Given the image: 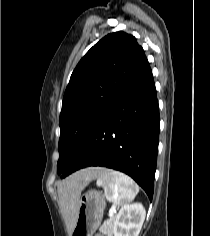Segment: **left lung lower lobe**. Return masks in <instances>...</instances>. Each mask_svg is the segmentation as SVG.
Returning <instances> with one entry per match:
<instances>
[{"label":"left lung lower lobe","instance_id":"obj_1","mask_svg":"<svg viewBox=\"0 0 210 236\" xmlns=\"http://www.w3.org/2000/svg\"><path fill=\"white\" fill-rule=\"evenodd\" d=\"M159 125L156 88L148 64L96 119L62 178L89 166L108 167L131 176L152 200Z\"/></svg>","mask_w":210,"mask_h":236}]
</instances>
